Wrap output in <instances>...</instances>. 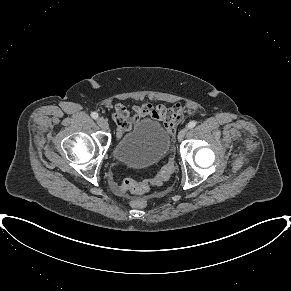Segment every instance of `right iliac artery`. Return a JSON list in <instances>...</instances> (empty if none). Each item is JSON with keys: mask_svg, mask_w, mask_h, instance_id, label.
Here are the masks:
<instances>
[{"mask_svg": "<svg viewBox=\"0 0 291 291\" xmlns=\"http://www.w3.org/2000/svg\"><path fill=\"white\" fill-rule=\"evenodd\" d=\"M91 116L93 119H97L98 118V114L96 112H92Z\"/></svg>", "mask_w": 291, "mask_h": 291, "instance_id": "obj_1", "label": "right iliac artery"}]
</instances>
